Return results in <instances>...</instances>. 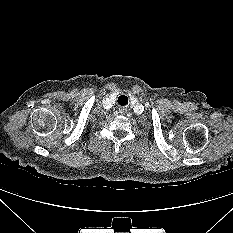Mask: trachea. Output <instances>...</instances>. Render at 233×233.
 <instances>
[{"label":"trachea","mask_w":233,"mask_h":233,"mask_svg":"<svg viewBox=\"0 0 233 233\" xmlns=\"http://www.w3.org/2000/svg\"><path fill=\"white\" fill-rule=\"evenodd\" d=\"M123 97L126 98V96H120V97L118 98V103H119V104H120L121 99H123Z\"/></svg>","instance_id":"3493384b"}]
</instances>
